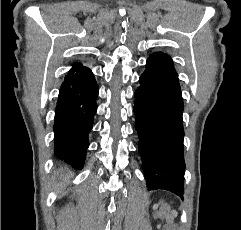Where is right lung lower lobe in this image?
<instances>
[{"instance_id":"98d812e1","label":"right lung lower lobe","mask_w":241,"mask_h":230,"mask_svg":"<svg viewBox=\"0 0 241 230\" xmlns=\"http://www.w3.org/2000/svg\"><path fill=\"white\" fill-rule=\"evenodd\" d=\"M98 85L91 70L75 63L59 91L54 129L55 155L76 169L83 168L88 134L97 110Z\"/></svg>"}]
</instances>
